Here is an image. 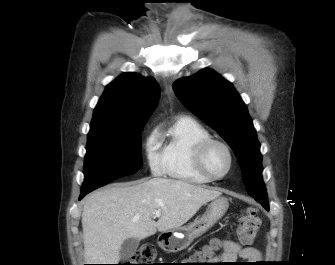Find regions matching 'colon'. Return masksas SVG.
Listing matches in <instances>:
<instances>
[{"label": "colon", "mask_w": 335, "mask_h": 265, "mask_svg": "<svg viewBox=\"0 0 335 265\" xmlns=\"http://www.w3.org/2000/svg\"><path fill=\"white\" fill-rule=\"evenodd\" d=\"M261 226V219L256 211V209L249 207L245 210L244 214L241 216L237 234L239 241L244 245H249L253 242L259 228ZM221 247V242L217 239L212 240L208 245H206L200 251H197L193 256L192 260L196 262H205L211 258L217 250ZM156 258V250L154 246L150 244L142 245L137 252L134 254L132 259L124 265H154V260ZM195 264H205V263H195Z\"/></svg>", "instance_id": "1"}]
</instances>
